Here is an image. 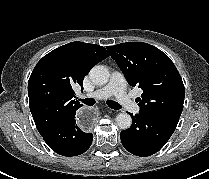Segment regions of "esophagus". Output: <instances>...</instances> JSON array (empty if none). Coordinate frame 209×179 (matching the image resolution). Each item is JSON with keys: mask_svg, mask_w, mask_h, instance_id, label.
<instances>
[{"mask_svg": "<svg viewBox=\"0 0 209 179\" xmlns=\"http://www.w3.org/2000/svg\"><path fill=\"white\" fill-rule=\"evenodd\" d=\"M96 118L97 113L93 108L79 109L74 113L75 123L83 130H90Z\"/></svg>", "mask_w": 209, "mask_h": 179, "instance_id": "1", "label": "esophagus"}]
</instances>
